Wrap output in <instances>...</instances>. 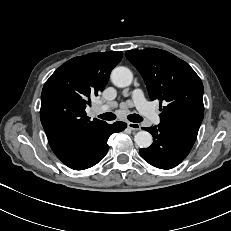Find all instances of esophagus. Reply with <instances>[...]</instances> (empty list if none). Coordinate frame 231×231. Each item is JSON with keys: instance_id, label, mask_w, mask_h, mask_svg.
<instances>
[{"instance_id": "34e87169", "label": "esophagus", "mask_w": 231, "mask_h": 231, "mask_svg": "<svg viewBox=\"0 0 231 231\" xmlns=\"http://www.w3.org/2000/svg\"><path fill=\"white\" fill-rule=\"evenodd\" d=\"M127 126L132 131L140 130V124H138V123L128 122Z\"/></svg>"}]
</instances>
